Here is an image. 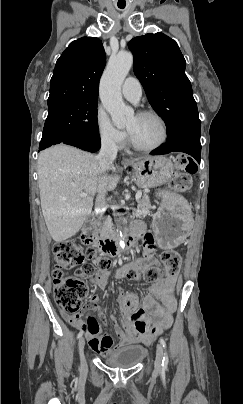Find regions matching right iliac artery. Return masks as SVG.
Here are the masks:
<instances>
[{
  "label": "right iliac artery",
  "mask_w": 243,
  "mask_h": 404,
  "mask_svg": "<svg viewBox=\"0 0 243 404\" xmlns=\"http://www.w3.org/2000/svg\"><path fill=\"white\" fill-rule=\"evenodd\" d=\"M82 335H83V331H80V332L78 333V335H77V339H79L80 337H82Z\"/></svg>",
  "instance_id": "82829eb1"
}]
</instances>
